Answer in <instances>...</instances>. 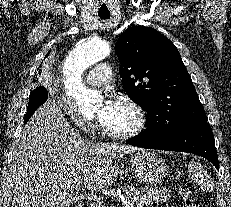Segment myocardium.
I'll list each match as a JSON object with an SVG mask.
<instances>
[{
	"instance_id": "f54148a6",
	"label": "myocardium",
	"mask_w": 231,
	"mask_h": 207,
	"mask_svg": "<svg viewBox=\"0 0 231 207\" xmlns=\"http://www.w3.org/2000/svg\"><path fill=\"white\" fill-rule=\"evenodd\" d=\"M118 103L124 104L129 107L136 116V125L129 131L126 132H114L108 129L103 123H101V130L103 134L111 139L115 140H127L137 137L147 127V115L144 109L133 99L122 96L118 99Z\"/></svg>"
}]
</instances>
